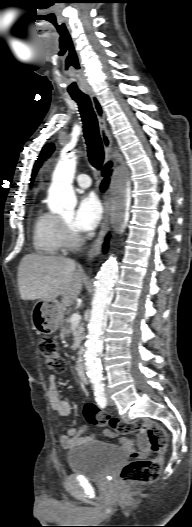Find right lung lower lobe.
I'll use <instances>...</instances> for the list:
<instances>
[{
  "label": "right lung lower lobe",
  "instance_id": "obj_1",
  "mask_svg": "<svg viewBox=\"0 0 192 527\" xmlns=\"http://www.w3.org/2000/svg\"><path fill=\"white\" fill-rule=\"evenodd\" d=\"M110 167H111V163H108V164L103 168V172H102V173H103V176H104V177H108V176L110 175V173H111V170L109 169ZM108 182H109V179H107V178L103 180V184H102V186H101L103 190H104L105 187L107 186ZM108 238H109V235L107 236V239H106V240H108ZM107 244H108L107 242L104 243V251H105L106 248H107Z\"/></svg>",
  "mask_w": 192,
  "mask_h": 527
}]
</instances>
